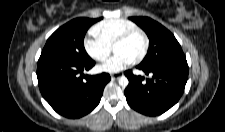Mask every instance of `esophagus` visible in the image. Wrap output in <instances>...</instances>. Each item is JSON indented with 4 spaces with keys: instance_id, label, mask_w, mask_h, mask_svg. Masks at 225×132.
<instances>
[{
    "instance_id": "obj_1",
    "label": "esophagus",
    "mask_w": 225,
    "mask_h": 132,
    "mask_svg": "<svg viewBox=\"0 0 225 132\" xmlns=\"http://www.w3.org/2000/svg\"><path fill=\"white\" fill-rule=\"evenodd\" d=\"M119 77H120V74H118V73H117V74H112V75H111V79H112V80L118 79Z\"/></svg>"
}]
</instances>
